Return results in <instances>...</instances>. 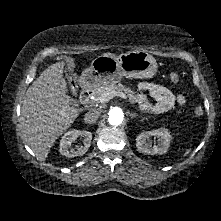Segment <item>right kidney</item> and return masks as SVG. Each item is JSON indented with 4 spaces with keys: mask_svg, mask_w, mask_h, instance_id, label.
Wrapping results in <instances>:
<instances>
[{
    "mask_svg": "<svg viewBox=\"0 0 221 221\" xmlns=\"http://www.w3.org/2000/svg\"><path fill=\"white\" fill-rule=\"evenodd\" d=\"M83 138V144L76 149L71 148V144L78 138ZM92 140V133L88 131L71 130L64 134L60 141V153L68 158L81 156L87 152Z\"/></svg>",
    "mask_w": 221,
    "mask_h": 221,
    "instance_id": "right-kidney-1",
    "label": "right kidney"
}]
</instances>
